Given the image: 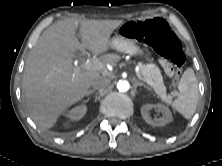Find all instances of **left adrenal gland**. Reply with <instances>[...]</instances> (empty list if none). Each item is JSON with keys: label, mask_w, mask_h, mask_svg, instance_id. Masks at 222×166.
Segmentation results:
<instances>
[{"label": "left adrenal gland", "mask_w": 222, "mask_h": 166, "mask_svg": "<svg viewBox=\"0 0 222 166\" xmlns=\"http://www.w3.org/2000/svg\"><path fill=\"white\" fill-rule=\"evenodd\" d=\"M134 82H135V86H143V87L147 88L148 90H150V88L147 85H145L144 83H142L138 80H134Z\"/></svg>", "instance_id": "obj_1"}]
</instances>
